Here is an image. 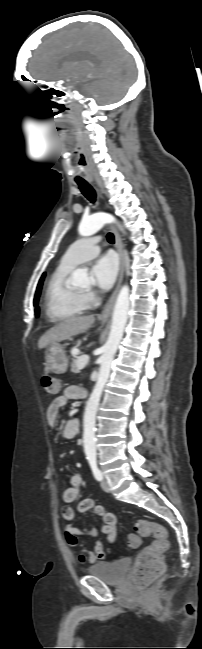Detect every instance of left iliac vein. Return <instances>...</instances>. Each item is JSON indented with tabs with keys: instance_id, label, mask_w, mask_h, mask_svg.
<instances>
[{
	"instance_id": "left-iliac-vein-1",
	"label": "left iliac vein",
	"mask_w": 202,
	"mask_h": 649,
	"mask_svg": "<svg viewBox=\"0 0 202 649\" xmlns=\"http://www.w3.org/2000/svg\"><path fill=\"white\" fill-rule=\"evenodd\" d=\"M101 487L105 492H107V493L110 492V486H109V484H108V482L106 480L101 481Z\"/></svg>"
}]
</instances>
